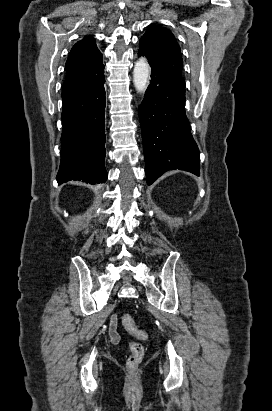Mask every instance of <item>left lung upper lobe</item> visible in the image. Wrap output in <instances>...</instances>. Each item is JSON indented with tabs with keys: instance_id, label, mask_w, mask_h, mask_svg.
I'll return each mask as SVG.
<instances>
[{
	"instance_id": "1",
	"label": "left lung upper lobe",
	"mask_w": 272,
	"mask_h": 411,
	"mask_svg": "<svg viewBox=\"0 0 272 411\" xmlns=\"http://www.w3.org/2000/svg\"><path fill=\"white\" fill-rule=\"evenodd\" d=\"M138 54L145 56L149 64L185 84L182 77L181 49L168 29L150 25L139 41Z\"/></svg>"
}]
</instances>
